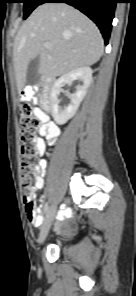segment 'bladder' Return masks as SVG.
<instances>
[{
    "mask_svg": "<svg viewBox=\"0 0 136 296\" xmlns=\"http://www.w3.org/2000/svg\"><path fill=\"white\" fill-rule=\"evenodd\" d=\"M61 240L62 241L67 240V237H62Z\"/></svg>",
    "mask_w": 136,
    "mask_h": 296,
    "instance_id": "obj_1",
    "label": "bladder"
}]
</instances>
